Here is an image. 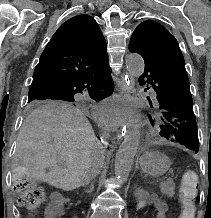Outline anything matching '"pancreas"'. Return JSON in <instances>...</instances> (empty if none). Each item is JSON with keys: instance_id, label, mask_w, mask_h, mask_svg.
Here are the masks:
<instances>
[{"instance_id": "pancreas-1", "label": "pancreas", "mask_w": 211, "mask_h": 218, "mask_svg": "<svg viewBox=\"0 0 211 218\" xmlns=\"http://www.w3.org/2000/svg\"><path fill=\"white\" fill-rule=\"evenodd\" d=\"M162 194H166L169 198H173L175 192V184L173 180H167V182H161L160 184Z\"/></svg>"}]
</instances>
